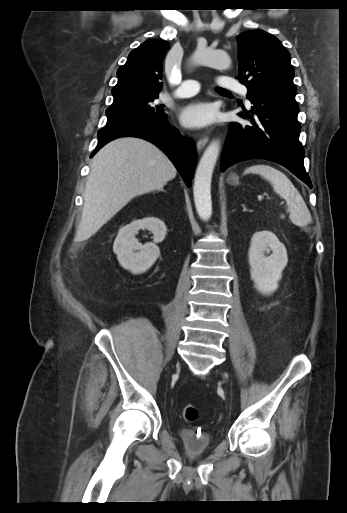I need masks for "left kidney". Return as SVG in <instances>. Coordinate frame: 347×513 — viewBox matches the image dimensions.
Returning <instances> with one entry per match:
<instances>
[{
  "instance_id": "obj_1",
  "label": "left kidney",
  "mask_w": 347,
  "mask_h": 513,
  "mask_svg": "<svg viewBox=\"0 0 347 513\" xmlns=\"http://www.w3.org/2000/svg\"><path fill=\"white\" fill-rule=\"evenodd\" d=\"M270 251L272 254L266 256ZM248 258L250 275L256 288L264 295H271L277 290L288 262L284 244L270 231L256 232L251 238Z\"/></svg>"
}]
</instances>
